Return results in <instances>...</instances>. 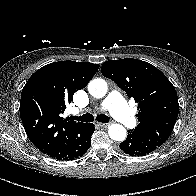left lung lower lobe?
Segmentation results:
<instances>
[{"label": "left lung lower lobe", "mask_w": 196, "mask_h": 196, "mask_svg": "<svg viewBox=\"0 0 196 196\" xmlns=\"http://www.w3.org/2000/svg\"><path fill=\"white\" fill-rule=\"evenodd\" d=\"M157 148L154 144L143 141L140 137L129 131L127 139L120 144V149L130 156H144Z\"/></svg>", "instance_id": "1"}]
</instances>
